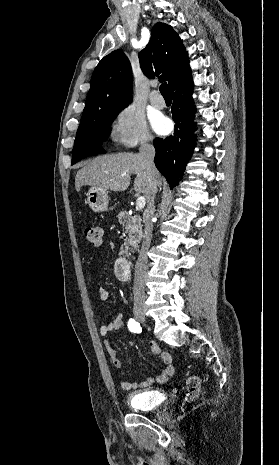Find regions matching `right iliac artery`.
<instances>
[{
  "label": "right iliac artery",
  "instance_id": "1",
  "mask_svg": "<svg viewBox=\"0 0 279 465\" xmlns=\"http://www.w3.org/2000/svg\"><path fill=\"white\" fill-rule=\"evenodd\" d=\"M128 328L133 333H140L142 331L140 324L134 319L128 321Z\"/></svg>",
  "mask_w": 279,
  "mask_h": 465
}]
</instances>
